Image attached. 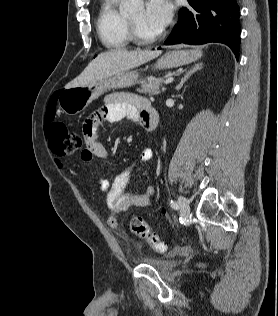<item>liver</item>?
I'll return each instance as SVG.
<instances>
[{
  "label": "liver",
  "instance_id": "6515ba94",
  "mask_svg": "<svg viewBox=\"0 0 278 316\" xmlns=\"http://www.w3.org/2000/svg\"><path fill=\"white\" fill-rule=\"evenodd\" d=\"M160 54V50H112L101 53L89 63L78 77L68 83L65 88L89 85L95 81L138 67L158 57Z\"/></svg>",
  "mask_w": 278,
  "mask_h": 316
}]
</instances>
